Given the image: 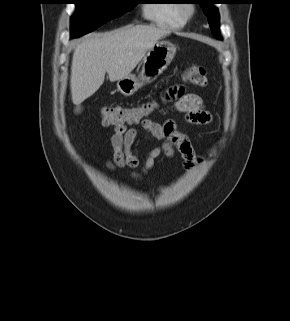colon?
Masks as SVG:
<instances>
[{
	"label": "colon",
	"mask_w": 290,
	"mask_h": 321,
	"mask_svg": "<svg viewBox=\"0 0 290 321\" xmlns=\"http://www.w3.org/2000/svg\"><path fill=\"white\" fill-rule=\"evenodd\" d=\"M183 79L195 86L205 88L209 85L206 70L200 66H189L183 74ZM157 104L153 101L145 102L134 107L109 106L101 110L102 123L105 126H125L140 122L150 115Z\"/></svg>",
	"instance_id": "colon-1"
}]
</instances>
